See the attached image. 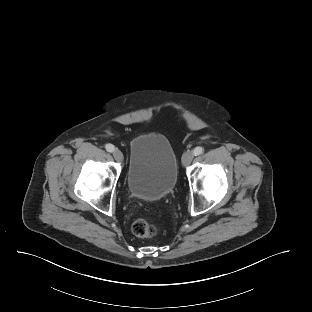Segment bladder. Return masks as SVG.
I'll return each instance as SVG.
<instances>
[{"label":"bladder","instance_id":"obj_1","mask_svg":"<svg viewBox=\"0 0 312 312\" xmlns=\"http://www.w3.org/2000/svg\"><path fill=\"white\" fill-rule=\"evenodd\" d=\"M177 178V158L165 136L144 134L131 140L126 183L133 197L163 199L173 191Z\"/></svg>","mask_w":312,"mask_h":312}]
</instances>
